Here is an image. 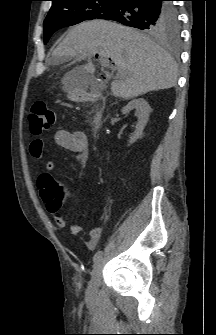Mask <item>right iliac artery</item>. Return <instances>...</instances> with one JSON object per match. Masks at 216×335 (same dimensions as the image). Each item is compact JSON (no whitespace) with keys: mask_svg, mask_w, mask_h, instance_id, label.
I'll use <instances>...</instances> for the list:
<instances>
[{"mask_svg":"<svg viewBox=\"0 0 216 335\" xmlns=\"http://www.w3.org/2000/svg\"><path fill=\"white\" fill-rule=\"evenodd\" d=\"M102 255H103V252L100 251V250L95 253V255L93 256V262H94V264H96L100 260V258L102 257Z\"/></svg>","mask_w":216,"mask_h":335,"instance_id":"1","label":"right iliac artery"}]
</instances>
